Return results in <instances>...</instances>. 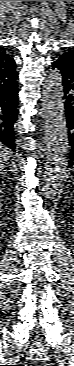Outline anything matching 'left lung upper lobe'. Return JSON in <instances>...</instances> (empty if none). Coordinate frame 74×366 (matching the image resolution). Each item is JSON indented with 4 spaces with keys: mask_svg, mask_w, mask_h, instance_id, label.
Wrapping results in <instances>:
<instances>
[{
    "mask_svg": "<svg viewBox=\"0 0 74 366\" xmlns=\"http://www.w3.org/2000/svg\"><path fill=\"white\" fill-rule=\"evenodd\" d=\"M59 58H63L64 60H66L74 65V50L66 51Z\"/></svg>",
    "mask_w": 74,
    "mask_h": 366,
    "instance_id": "5c2ea615",
    "label": "left lung upper lobe"
}]
</instances>
